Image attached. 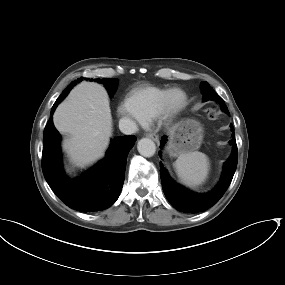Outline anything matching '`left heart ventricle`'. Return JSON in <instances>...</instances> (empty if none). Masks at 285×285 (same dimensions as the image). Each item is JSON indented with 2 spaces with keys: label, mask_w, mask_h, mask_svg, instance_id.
Masks as SVG:
<instances>
[{
  "label": "left heart ventricle",
  "mask_w": 285,
  "mask_h": 285,
  "mask_svg": "<svg viewBox=\"0 0 285 285\" xmlns=\"http://www.w3.org/2000/svg\"><path fill=\"white\" fill-rule=\"evenodd\" d=\"M180 99H181V96H180L179 94H175V95L173 96V101H174L175 103L179 102Z\"/></svg>",
  "instance_id": "1"
}]
</instances>
